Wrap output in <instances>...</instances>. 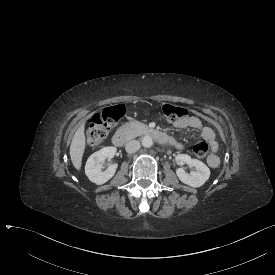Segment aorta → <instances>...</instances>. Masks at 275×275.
Masks as SVG:
<instances>
[{"label":"aorta","mask_w":275,"mask_h":275,"mask_svg":"<svg viewBox=\"0 0 275 275\" xmlns=\"http://www.w3.org/2000/svg\"><path fill=\"white\" fill-rule=\"evenodd\" d=\"M142 146L145 148H150L153 146V139L151 136H144L142 139Z\"/></svg>","instance_id":"1"}]
</instances>
